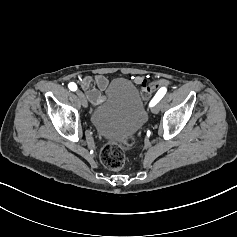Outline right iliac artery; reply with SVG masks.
<instances>
[{"mask_svg":"<svg viewBox=\"0 0 237 237\" xmlns=\"http://www.w3.org/2000/svg\"><path fill=\"white\" fill-rule=\"evenodd\" d=\"M68 87L71 91L77 90V85L74 82L69 83Z\"/></svg>","mask_w":237,"mask_h":237,"instance_id":"82829eb1","label":"right iliac artery"}]
</instances>
